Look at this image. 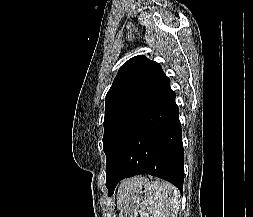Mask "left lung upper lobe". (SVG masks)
I'll return each instance as SVG.
<instances>
[{
	"instance_id": "obj_1",
	"label": "left lung upper lobe",
	"mask_w": 253,
	"mask_h": 217,
	"mask_svg": "<svg viewBox=\"0 0 253 217\" xmlns=\"http://www.w3.org/2000/svg\"><path fill=\"white\" fill-rule=\"evenodd\" d=\"M169 90L170 80L161 66L145 56H135L120 68L105 99L103 145L106 181L124 135Z\"/></svg>"
}]
</instances>
